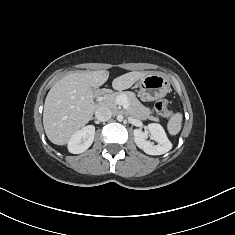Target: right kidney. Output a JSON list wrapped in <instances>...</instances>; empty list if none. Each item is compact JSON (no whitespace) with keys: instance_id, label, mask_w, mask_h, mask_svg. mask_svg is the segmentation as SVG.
I'll list each match as a JSON object with an SVG mask.
<instances>
[{"instance_id":"right-kidney-1","label":"right kidney","mask_w":235,"mask_h":235,"mask_svg":"<svg viewBox=\"0 0 235 235\" xmlns=\"http://www.w3.org/2000/svg\"><path fill=\"white\" fill-rule=\"evenodd\" d=\"M95 127L88 125L75 132L68 142V150L73 154L86 151L93 143Z\"/></svg>"}]
</instances>
